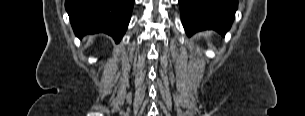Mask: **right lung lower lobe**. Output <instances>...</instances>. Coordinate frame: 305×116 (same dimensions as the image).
<instances>
[{
	"mask_svg": "<svg viewBox=\"0 0 305 116\" xmlns=\"http://www.w3.org/2000/svg\"><path fill=\"white\" fill-rule=\"evenodd\" d=\"M134 0H66L65 8L77 37L106 33L118 43L130 21Z\"/></svg>",
	"mask_w": 305,
	"mask_h": 116,
	"instance_id": "98d812e1",
	"label": "right lung lower lobe"
}]
</instances>
